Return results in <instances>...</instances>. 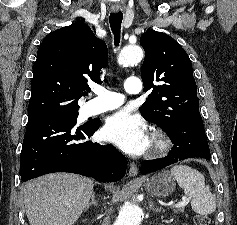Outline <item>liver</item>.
I'll use <instances>...</instances> for the list:
<instances>
[{"instance_id": "6515ba94", "label": "liver", "mask_w": 237, "mask_h": 225, "mask_svg": "<svg viewBox=\"0 0 237 225\" xmlns=\"http://www.w3.org/2000/svg\"><path fill=\"white\" fill-rule=\"evenodd\" d=\"M91 179L52 173L24 185L25 211L30 225H72L93 193Z\"/></svg>"}]
</instances>
